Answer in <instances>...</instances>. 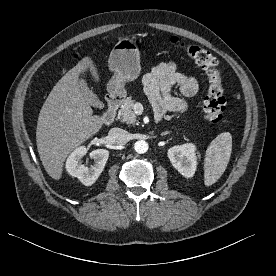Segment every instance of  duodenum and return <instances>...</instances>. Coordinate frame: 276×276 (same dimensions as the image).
Returning a JSON list of instances; mask_svg holds the SVG:
<instances>
[{"label": "duodenum", "instance_id": "1", "mask_svg": "<svg viewBox=\"0 0 276 276\" xmlns=\"http://www.w3.org/2000/svg\"><path fill=\"white\" fill-rule=\"evenodd\" d=\"M123 101V97L118 94H110L107 97V108L103 114V123L106 125H110L114 123L116 119V113L118 110V107ZM162 119L161 115H157L156 120L157 122H160Z\"/></svg>", "mask_w": 276, "mask_h": 276}]
</instances>
